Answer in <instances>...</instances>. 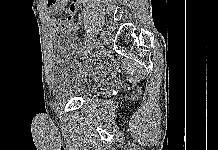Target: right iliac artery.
I'll use <instances>...</instances> for the list:
<instances>
[{
  "label": "right iliac artery",
  "instance_id": "obj_1",
  "mask_svg": "<svg viewBox=\"0 0 218 150\" xmlns=\"http://www.w3.org/2000/svg\"><path fill=\"white\" fill-rule=\"evenodd\" d=\"M92 41L95 42V39H94L93 37H90V39L88 40V42L91 43ZM93 42H92V44H93ZM92 44H88V45H87V48L89 49ZM83 54H84V55H87V54H88V51H87V50H84V51H83Z\"/></svg>",
  "mask_w": 218,
  "mask_h": 150
}]
</instances>
